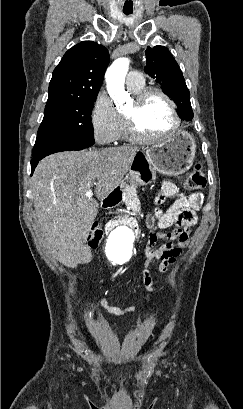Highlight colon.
<instances>
[{
  "label": "colon",
  "mask_w": 243,
  "mask_h": 409,
  "mask_svg": "<svg viewBox=\"0 0 243 409\" xmlns=\"http://www.w3.org/2000/svg\"><path fill=\"white\" fill-rule=\"evenodd\" d=\"M206 186V177L200 164H196L193 170L189 173L185 181V187L188 190H201ZM149 228H153L155 220L153 217L147 219ZM103 237V230L100 225L94 224L88 236V244L91 247H96Z\"/></svg>",
  "instance_id": "obj_1"
}]
</instances>
